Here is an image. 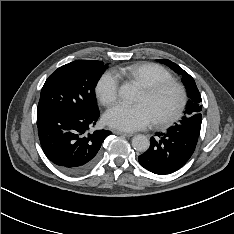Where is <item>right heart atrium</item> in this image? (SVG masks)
<instances>
[{"label": "right heart atrium", "instance_id": "1", "mask_svg": "<svg viewBox=\"0 0 234 234\" xmlns=\"http://www.w3.org/2000/svg\"><path fill=\"white\" fill-rule=\"evenodd\" d=\"M95 92L104 105H110L115 102L119 94V80L117 76L111 71L103 73L96 83Z\"/></svg>", "mask_w": 234, "mask_h": 234}]
</instances>
